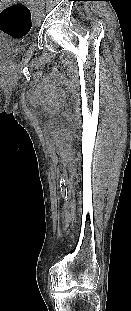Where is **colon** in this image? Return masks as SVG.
Instances as JSON below:
<instances>
[{
  "mask_svg": "<svg viewBox=\"0 0 131 311\" xmlns=\"http://www.w3.org/2000/svg\"><path fill=\"white\" fill-rule=\"evenodd\" d=\"M32 28L30 9L22 4L15 3L6 6L0 11V31L12 38L25 37Z\"/></svg>",
  "mask_w": 131,
  "mask_h": 311,
  "instance_id": "colon-1",
  "label": "colon"
}]
</instances>
